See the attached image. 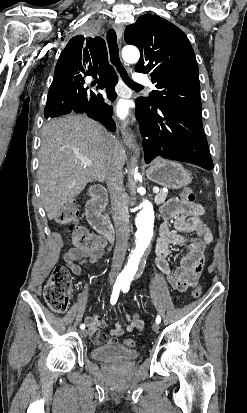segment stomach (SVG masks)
<instances>
[{
  "instance_id": "stomach-1",
  "label": "stomach",
  "mask_w": 247,
  "mask_h": 413,
  "mask_svg": "<svg viewBox=\"0 0 247 413\" xmlns=\"http://www.w3.org/2000/svg\"><path fill=\"white\" fill-rule=\"evenodd\" d=\"M146 174L150 180L167 186V188H182V186L190 184L193 178L180 162L165 160V158H157L155 162H152L148 166Z\"/></svg>"
}]
</instances>
